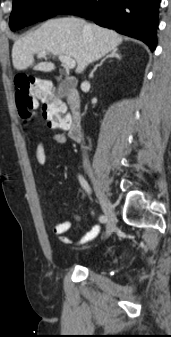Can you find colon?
<instances>
[{
    "mask_svg": "<svg viewBox=\"0 0 171 337\" xmlns=\"http://www.w3.org/2000/svg\"><path fill=\"white\" fill-rule=\"evenodd\" d=\"M56 91H51L49 82L38 76L18 75L15 78V100L19 115L25 121L32 117L36 107V99L41 98L40 112L43 119H48V124L53 129H67L68 115L64 114L63 100H57Z\"/></svg>",
    "mask_w": 171,
    "mask_h": 337,
    "instance_id": "1",
    "label": "colon"
}]
</instances>
